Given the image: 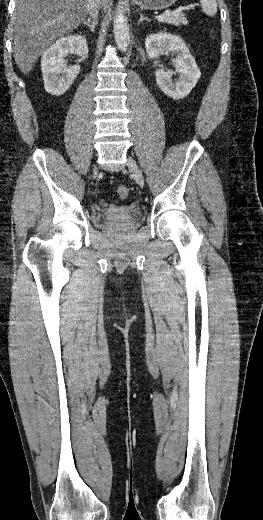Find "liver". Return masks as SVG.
<instances>
[{"label":"liver","mask_w":263,"mask_h":520,"mask_svg":"<svg viewBox=\"0 0 263 520\" xmlns=\"http://www.w3.org/2000/svg\"><path fill=\"white\" fill-rule=\"evenodd\" d=\"M112 0H101L104 10ZM12 18L14 59L28 74L56 39L76 29L88 13V0H15Z\"/></svg>","instance_id":"1"}]
</instances>
